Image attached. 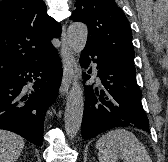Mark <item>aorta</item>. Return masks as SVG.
Masks as SVG:
<instances>
[{"mask_svg":"<svg viewBox=\"0 0 168 162\" xmlns=\"http://www.w3.org/2000/svg\"><path fill=\"white\" fill-rule=\"evenodd\" d=\"M88 36L87 26L83 23H73L67 31V41L70 48L77 53L85 48ZM84 111L83 90L79 83L73 84L66 103L65 109V130L70 136L77 134L81 127Z\"/></svg>","mask_w":168,"mask_h":162,"instance_id":"obj_1","label":"aorta"}]
</instances>
